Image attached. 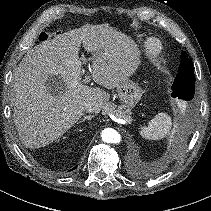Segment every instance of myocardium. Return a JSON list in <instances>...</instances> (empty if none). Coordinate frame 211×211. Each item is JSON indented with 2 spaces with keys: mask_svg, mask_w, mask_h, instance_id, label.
Wrapping results in <instances>:
<instances>
[{
  "mask_svg": "<svg viewBox=\"0 0 211 211\" xmlns=\"http://www.w3.org/2000/svg\"><path fill=\"white\" fill-rule=\"evenodd\" d=\"M161 49H162V44L159 40L150 39L147 42V51L149 52V54L157 56L161 52Z\"/></svg>",
  "mask_w": 211,
  "mask_h": 211,
  "instance_id": "obj_1",
  "label": "myocardium"
}]
</instances>
